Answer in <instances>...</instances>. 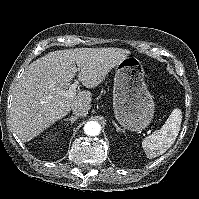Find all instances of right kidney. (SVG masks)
Masks as SVG:
<instances>
[{
	"label": "right kidney",
	"instance_id": "right-kidney-1",
	"mask_svg": "<svg viewBox=\"0 0 199 199\" xmlns=\"http://www.w3.org/2000/svg\"><path fill=\"white\" fill-rule=\"evenodd\" d=\"M55 136H56V134L49 135V136H47V137L50 138V139H52V138H54Z\"/></svg>",
	"mask_w": 199,
	"mask_h": 199
}]
</instances>
